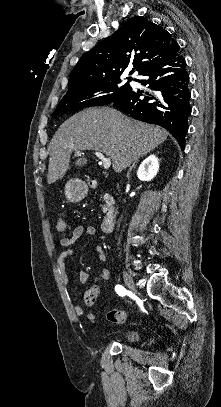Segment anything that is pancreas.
Wrapping results in <instances>:
<instances>
[{"instance_id":"obj_1","label":"pancreas","mask_w":221,"mask_h":407,"mask_svg":"<svg viewBox=\"0 0 221 407\" xmlns=\"http://www.w3.org/2000/svg\"><path fill=\"white\" fill-rule=\"evenodd\" d=\"M108 198H109V196L108 195H106V196H104V201L106 202V203H108ZM102 209H103V211L104 212H107L108 210H109V207L106 205H104L103 207H102Z\"/></svg>"}]
</instances>
